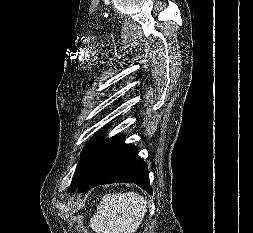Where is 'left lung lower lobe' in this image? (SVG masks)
Instances as JSON below:
<instances>
[{
  "label": "left lung lower lobe",
  "instance_id": "0a47b994",
  "mask_svg": "<svg viewBox=\"0 0 253 233\" xmlns=\"http://www.w3.org/2000/svg\"><path fill=\"white\" fill-rule=\"evenodd\" d=\"M124 135H116L108 140L97 157L88 175L78 184L69 188L86 192L90 188L107 183H135L152 194L148 168L138 156V150L125 144Z\"/></svg>",
  "mask_w": 253,
  "mask_h": 233
}]
</instances>
